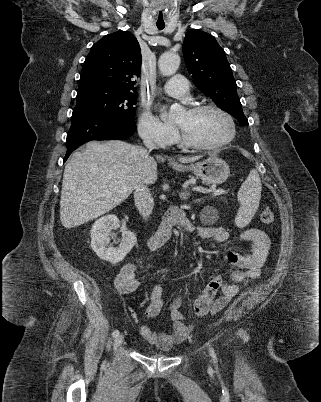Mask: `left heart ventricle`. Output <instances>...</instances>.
<instances>
[{
    "label": "left heart ventricle",
    "instance_id": "b2bd125f",
    "mask_svg": "<svg viewBox=\"0 0 321 402\" xmlns=\"http://www.w3.org/2000/svg\"><path fill=\"white\" fill-rule=\"evenodd\" d=\"M175 124L189 138L202 144H214L228 136L230 128L227 120L215 110L197 113L184 111L178 115Z\"/></svg>",
    "mask_w": 321,
    "mask_h": 402
}]
</instances>
